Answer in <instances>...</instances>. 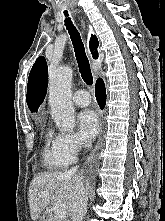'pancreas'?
Returning a JSON list of instances; mask_svg holds the SVG:
<instances>
[{
    "label": "pancreas",
    "mask_w": 165,
    "mask_h": 221,
    "mask_svg": "<svg viewBox=\"0 0 165 221\" xmlns=\"http://www.w3.org/2000/svg\"><path fill=\"white\" fill-rule=\"evenodd\" d=\"M50 221H68L67 218H59L58 216H54L50 219Z\"/></svg>",
    "instance_id": "1"
}]
</instances>
